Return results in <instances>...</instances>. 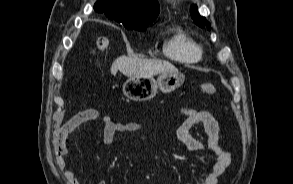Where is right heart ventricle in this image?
<instances>
[{"mask_svg": "<svg viewBox=\"0 0 293 184\" xmlns=\"http://www.w3.org/2000/svg\"><path fill=\"white\" fill-rule=\"evenodd\" d=\"M164 54L177 62L192 64L203 57L202 46L181 28H175L163 45Z\"/></svg>", "mask_w": 293, "mask_h": 184, "instance_id": "obj_1", "label": "right heart ventricle"}]
</instances>
